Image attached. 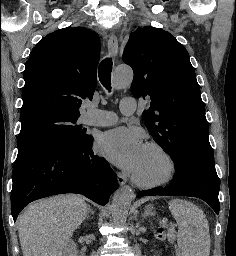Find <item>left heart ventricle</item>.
Returning a JSON list of instances; mask_svg holds the SVG:
<instances>
[{"label":"left heart ventricle","instance_id":"obj_1","mask_svg":"<svg viewBox=\"0 0 236 256\" xmlns=\"http://www.w3.org/2000/svg\"><path fill=\"white\" fill-rule=\"evenodd\" d=\"M166 170L167 164L163 156L158 151L145 147L134 173L144 180L154 181L161 178Z\"/></svg>","mask_w":236,"mask_h":256}]
</instances>
